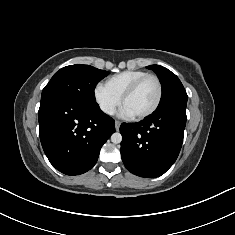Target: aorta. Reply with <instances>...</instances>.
<instances>
[{"label":"aorta","mask_w":235,"mask_h":235,"mask_svg":"<svg viewBox=\"0 0 235 235\" xmlns=\"http://www.w3.org/2000/svg\"><path fill=\"white\" fill-rule=\"evenodd\" d=\"M111 141L115 144L121 143L122 135L118 132L113 133L111 136Z\"/></svg>","instance_id":"aorta-1"}]
</instances>
